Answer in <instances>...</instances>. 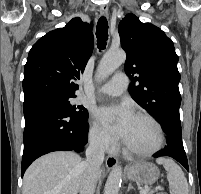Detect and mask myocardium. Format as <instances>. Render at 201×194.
<instances>
[{
  "label": "myocardium",
  "instance_id": "1",
  "mask_svg": "<svg viewBox=\"0 0 201 194\" xmlns=\"http://www.w3.org/2000/svg\"><path fill=\"white\" fill-rule=\"evenodd\" d=\"M135 117H139V118H143L148 120L150 123L153 124V126L155 127L157 134H158V141L157 144L149 149V150H139L136 148L131 147L130 145H128L126 142H124V147L125 150L132 154V155H136V156H141V157H148V156H152L154 154H156L157 152H159L164 144H165V132L164 129L162 127V125L159 123V121L153 117L152 115H150L149 113L146 112H138Z\"/></svg>",
  "mask_w": 201,
  "mask_h": 194
}]
</instances>
